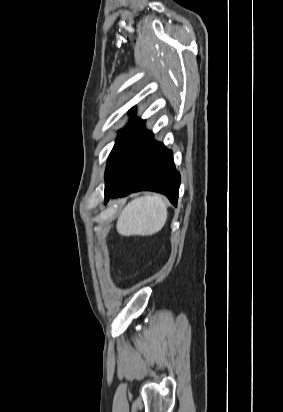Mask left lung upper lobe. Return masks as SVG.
<instances>
[{
  "label": "left lung upper lobe",
  "mask_w": 283,
  "mask_h": 412,
  "mask_svg": "<svg viewBox=\"0 0 283 412\" xmlns=\"http://www.w3.org/2000/svg\"><path fill=\"white\" fill-rule=\"evenodd\" d=\"M133 114L132 109L131 115ZM144 123V120H135L118 132V138L108 160L118 166L119 173L122 172V180L131 175L151 145L153 136L144 129Z\"/></svg>",
  "instance_id": "1"
}]
</instances>
